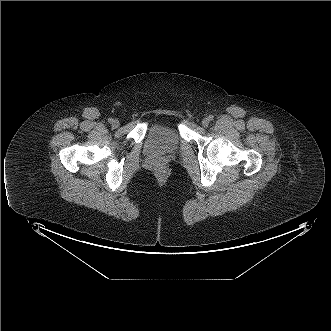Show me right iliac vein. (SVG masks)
Here are the masks:
<instances>
[{"mask_svg": "<svg viewBox=\"0 0 331 331\" xmlns=\"http://www.w3.org/2000/svg\"><path fill=\"white\" fill-rule=\"evenodd\" d=\"M119 125H120V122L118 120H113V122H112L113 128H117V127H119Z\"/></svg>", "mask_w": 331, "mask_h": 331, "instance_id": "obj_1", "label": "right iliac vein"}]
</instances>
